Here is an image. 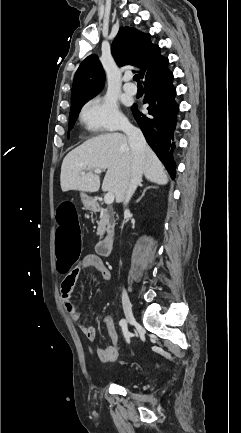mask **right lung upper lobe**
I'll return each mask as SVG.
<instances>
[{
	"instance_id": "1",
	"label": "right lung upper lobe",
	"mask_w": 241,
	"mask_h": 433,
	"mask_svg": "<svg viewBox=\"0 0 241 433\" xmlns=\"http://www.w3.org/2000/svg\"><path fill=\"white\" fill-rule=\"evenodd\" d=\"M150 34L130 27H120L111 51L116 62L141 68L142 80L159 72L168 64V59L160 54V47L152 44ZM105 74L96 55H90L80 64L73 81L71 107L81 100L91 99L104 86Z\"/></svg>"
}]
</instances>
